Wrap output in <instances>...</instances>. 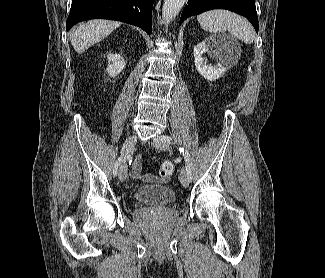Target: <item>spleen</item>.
Returning <instances> with one entry per match:
<instances>
[{
	"label": "spleen",
	"instance_id": "3e777b00",
	"mask_svg": "<svg viewBox=\"0 0 325 278\" xmlns=\"http://www.w3.org/2000/svg\"><path fill=\"white\" fill-rule=\"evenodd\" d=\"M203 30L211 33L228 31L246 44H251L254 31L250 23L239 15L226 10H211L197 16Z\"/></svg>",
	"mask_w": 325,
	"mask_h": 278
}]
</instances>
